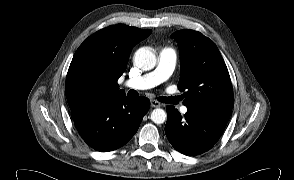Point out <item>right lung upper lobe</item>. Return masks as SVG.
Masks as SVG:
<instances>
[{
    "mask_svg": "<svg viewBox=\"0 0 294 180\" xmlns=\"http://www.w3.org/2000/svg\"><path fill=\"white\" fill-rule=\"evenodd\" d=\"M151 32L117 24L88 37L75 52L66 77L65 91L71 111L125 95L117 81L126 69L133 46Z\"/></svg>",
    "mask_w": 294,
    "mask_h": 180,
    "instance_id": "1",
    "label": "right lung upper lobe"
}]
</instances>
